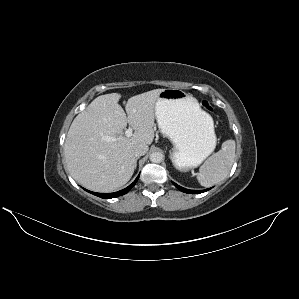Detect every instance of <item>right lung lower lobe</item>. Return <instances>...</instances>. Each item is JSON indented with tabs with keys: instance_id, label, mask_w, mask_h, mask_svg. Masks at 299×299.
Wrapping results in <instances>:
<instances>
[{
	"instance_id": "obj_1",
	"label": "right lung lower lobe",
	"mask_w": 299,
	"mask_h": 299,
	"mask_svg": "<svg viewBox=\"0 0 299 299\" xmlns=\"http://www.w3.org/2000/svg\"><path fill=\"white\" fill-rule=\"evenodd\" d=\"M139 176L136 178V180L131 184L129 185L128 187H126L125 189L123 190H120L118 192H115V193H95V192H91V191H88L98 197H101V198H104V199H110V198H115V197H118V196H121V195H124L126 194L134 185L135 183L137 182Z\"/></svg>"
}]
</instances>
